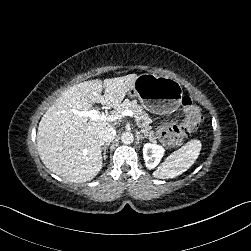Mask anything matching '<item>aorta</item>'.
I'll use <instances>...</instances> for the list:
<instances>
[{"mask_svg":"<svg viewBox=\"0 0 251 251\" xmlns=\"http://www.w3.org/2000/svg\"><path fill=\"white\" fill-rule=\"evenodd\" d=\"M121 141L126 145L131 144L134 141V136L132 133L125 132L121 135Z\"/></svg>","mask_w":251,"mask_h":251,"instance_id":"obj_1","label":"aorta"}]
</instances>
